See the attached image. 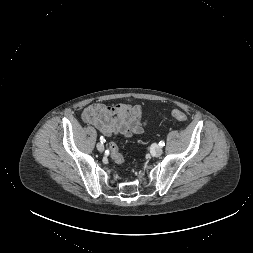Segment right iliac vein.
I'll return each mask as SVG.
<instances>
[{"mask_svg": "<svg viewBox=\"0 0 253 253\" xmlns=\"http://www.w3.org/2000/svg\"><path fill=\"white\" fill-rule=\"evenodd\" d=\"M97 150L98 151H100V152H103L104 151V145L101 143V142H99V143H97Z\"/></svg>", "mask_w": 253, "mask_h": 253, "instance_id": "obj_1", "label": "right iliac vein"}]
</instances>
